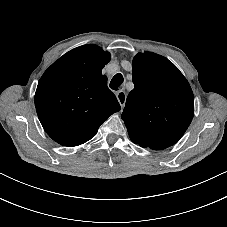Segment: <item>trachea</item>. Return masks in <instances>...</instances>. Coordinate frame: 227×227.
Listing matches in <instances>:
<instances>
[{"label": "trachea", "mask_w": 227, "mask_h": 227, "mask_svg": "<svg viewBox=\"0 0 227 227\" xmlns=\"http://www.w3.org/2000/svg\"><path fill=\"white\" fill-rule=\"evenodd\" d=\"M124 82V77L121 73H117L111 80L109 86L113 90H118V88L122 85Z\"/></svg>", "instance_id": "trachea-1"}]
</instances>
